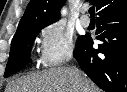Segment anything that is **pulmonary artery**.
Wrapping results in <instances>:
<instances>
[{"label":"pulmonary artery","instance_id":"e3ab8cb5","mask_svg":"<svg viewBox=\"0 0 127 92\" xmlns=\"http://www.w3.org/2000/svg\"><path fill=\"white\" fill-rule=\"evenodd\" d=\"M86 9L83 10V15L80 18V23L82 26L87 27L90 24V18L85 14Z\"/></svg>","mask_w":127,"mask_h":92}]
</instances>
